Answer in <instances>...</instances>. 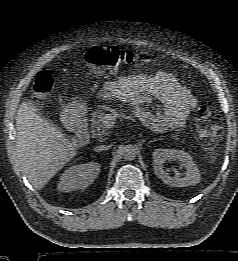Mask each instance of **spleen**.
Wrapping results in <instances>:
<instances>
[{"mask_svg": "<svg viewBox=\"0 0 238 261\" xmlns=\"http://www.w3.org/2000/svg\"><path fill=\"white\" fill-rule=\"evenodd\" d=\"M214 159H215V158H214V156L212 155V156H211V162H213V161H214Z\"/></svg>", "mask_w": 238, "mask_h": 261, "instance_id": "3e777b00", "label": "spleen"}]
</instances>
